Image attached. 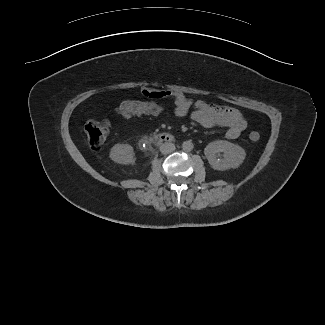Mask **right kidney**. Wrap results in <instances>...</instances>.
<instances>
[{
	"label": "right kidney",
	"mask_w": 325,
	"mask_h": 325,
	"mask_svg": "<svg viewBox=\"0 0 325 325\" xmlns=\"http://www.w3.org/2000/svg\"><path fill=\"white\" fill-rule=\"evenodd\" d=\"M110 158L119 164H131L134 161V150L129 144H116L110 151Z\"/></svg>",
	"instance_id": "1"
}]
</instances>
